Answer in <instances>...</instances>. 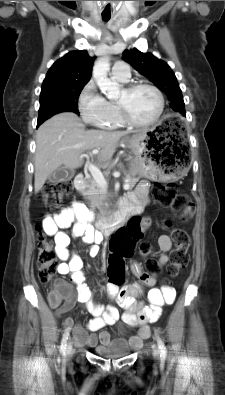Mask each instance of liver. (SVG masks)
Returning <instances> with one entry per match:
<instances>
[{"instance_id": "liver-1", "label": "liver", "mask_w": 225, "mask_h": 395, "mask_svg": "<svg viewBox=\"0 0 225 395\" xmlns=\"http://www.w3.org/2000/svg\"><path fill=\"white\" fill-rule=\"evenodd\" d=\"M146 132L144 130L139 134ZM128 133L85 130L80 118L72 112L60 113L48 119L38 128L36 135L35 193L41 190L47 178L60 166L72 170L79 168L86 151L101 150L97 159L106 167L119 140Z\"/></svg>"}]
</instances>
